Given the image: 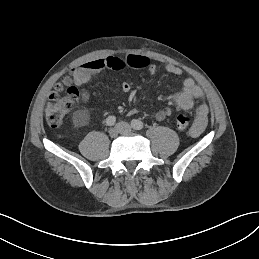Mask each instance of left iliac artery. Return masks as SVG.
I'll return each mask as SVG.
<instances>
[{"mask_svg":"<svg viewBox=\"0 0 259 259\" xmlns=\"http://www.w3.org/2000/svg\"><path fill=\"white\" fill-rule=\"evenodd\" d=\"M131 126L135 130H141V129L144 128L143 122L140 121V120H137V119H134V120L131 121Z\"/></svg>","mask_w":259,"mask_h":259,"instance_id":"left-iliac-artery-1","label":"left iliac artery"}]
</instances>
